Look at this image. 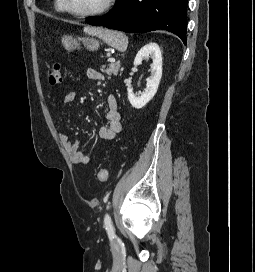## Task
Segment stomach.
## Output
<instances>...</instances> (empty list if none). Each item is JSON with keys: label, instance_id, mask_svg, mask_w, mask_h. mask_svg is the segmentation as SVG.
Returning a JSON list of instances; mask_svg holds the SVG:
<instances>
[{"label": "stomach", "instance_id": "stomach-1", "mask_svg": "<svg viewBox=\"0 0 255 272\" xmlns=\"http://www.w3.org/2000/svg\"><path fill=\"white\" fill-rule=\"evenodd\" d=\"M81 41L84 47L90 51H96L99 48V41L94 38L85 37L81 39ZM62 44L67 51H73L80 48V41L71 36H64L62 38Z\"/></svg>", "mask_w": 255, "mask_h": 272}]
</instances>
